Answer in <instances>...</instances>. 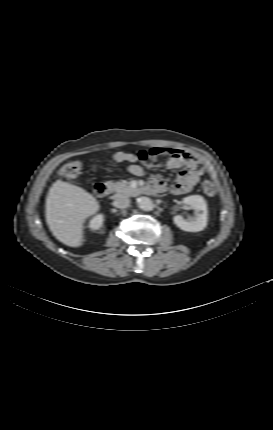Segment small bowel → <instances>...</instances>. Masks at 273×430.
<instances>
[{
	"label": "small bowel",
	"mask_w": 273,
	"mask_h": 430,
	"mask_svg": "<svg viewBox=\"0 0 273 430\" xmlns=\"http://www.w3.org/2000/svg\"><path fill=\"white\" fill-rule=\"evenodd\" d=\"M162 157L167 158L166 166L169 169H180L181 172L170 188L164 180L157 176H152L148 187L150 192H165L170 189L173 194L177 195L188 193L199 182L201 175L204 173L203 164L191 153L180 149L153 147L149 150H141L137 154L123 151L113 154V160L116 162H130L131 165L128 167V171L138 176L144 174V169L141 165L151 167Z\"/></svg>",
	"instance_id": "small-bowel-1"
}]
</instances>
